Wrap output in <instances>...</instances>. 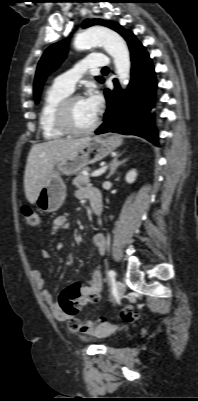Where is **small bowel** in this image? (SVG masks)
I'll use <instances>...</instances> for the list:
<instances>
[{
    "instance_id": "1",
    "label": "small bowel",
    "mask_w": 198,
    "mask_h": 401,
    "mask_svg": "<svg viewBox=\"0 0 198 401\" xmlns=\"http://www.w3.org/2000/svg\"><path fill=\"white\" fill-rule=\"evenodd\" d=\"M93 192H98L96 189L92 188H82L77 190L76 195L79 198H89ZM99 193V192H98ZM100 194V193H99ZM68 227V218L66 215H61L57 217L48 230V235L55 238L59 231L64 230ZM94 244L98 247L101 254L105 253L106 250V239L102 233H97L93 237ZM56 247L59 250L63 249V244L60 241L56 242ZM42 255L45 258L50 256L49 250L47 248L42 249ZM34 280L41 290V294L44 300L50 305L53 313L57 318L63 321L69 322L70 331L81 334H96L98 330L103 328V325H98L95 322H89L79 326L77 313L79 310L91 303H96L100 300V294L102 291V274L100 267H96L92 273L91 279L87 285H82L80 283H75V295L71 302L77 306L78 311L74 314H68L62 310V308L55 302L52 293L44 288V278L38 270H33Z\"/></svg>"
}]
</instances>
